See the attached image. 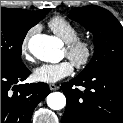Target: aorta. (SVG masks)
<instances>
[{"label": "aorta", "mask_w": 123, "mask_h": 123, "mask_svg": "<svg viewBox=\"0 0 123 123\" xmlns=\"http://www.w3.org/2000/svg\"><path fill=\"white\" fill-rule=\"evenodd\" d=\"M28 48L36 58L45 62H55L60 51L59 41L45 34L33 35L28 41ZM47 105L53 110H60L65 107L66 98L63 93L52 92L47 96Z\"/></svg>", "instance_id": "obj_1"}]
</instances>
